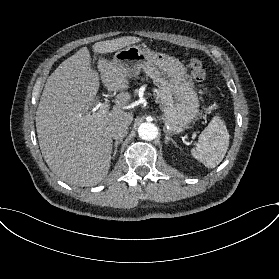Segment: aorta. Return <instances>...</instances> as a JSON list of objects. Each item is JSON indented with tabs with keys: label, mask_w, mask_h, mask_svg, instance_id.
Wrapping results in <instances>:
<instances>
[{
	"label": "aorta",
	"mask_w": 279,
	"mask_h": 279,
	"mask_svg": "<svg viewBox=\"0 0 279 279\" xmlns=\"http://www.w3.org/2000/svg\"><path fill=\"white\" fill-rule=\"evenodd\" d=\"M138 134L141 139L151 141L157 137L158 129L153 123L145 122L139 126Z\"/></svg>",
	"instance_id": "obj_1"
}]
</instances>
